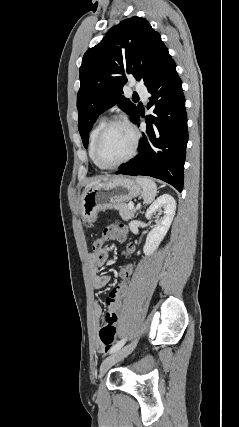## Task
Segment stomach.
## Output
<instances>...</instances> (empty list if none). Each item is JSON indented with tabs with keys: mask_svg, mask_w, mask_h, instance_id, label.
<instances>
[{
	"mask_svg": "<svg viewBox=\"0 0 239 427\" xmlns=\"http://www.w3.org/2000/svg\"><path fill=\"white\" fill-rule=\"evenodd\" d=\"M142 192L133 179L119 176L106 183L86 189L81 198V214L86 222L97 220L98 212L112 208L116 203L130 201Z\"/></svg>",
	"mask_w": 239,
	"mask_h": 427,
	"instance_id": "obj_1",
	"label": "stomach"
}]
</instances>
